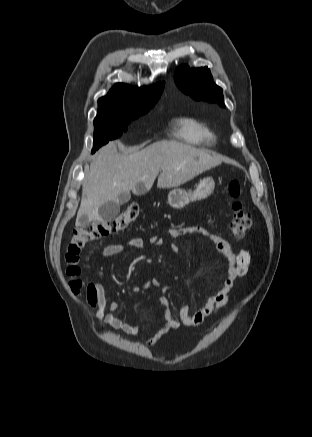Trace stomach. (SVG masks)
<instances>
[{
	"mask_svg": "<svg viewBox=\"0 0 312 437\" xmlns=\"http://www.w3.org/2000/svg\"><path fill=\"white\" fill-rule=\"evenodd\" d=\"M213 178H204L193 191L175 188L168 194V204L174 209H182L190 202L206 199L214 190Z\"/></svg>",
	"mask_w": 312,
	"mask_h": 437,
	"instance_id": "obj_1",
	"label": "stomach"
}]
</instances>
